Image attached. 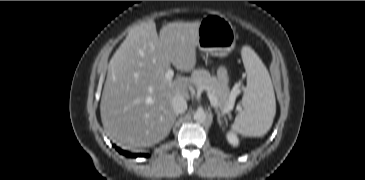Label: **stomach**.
<instances>
[{
	"label": "stomach",
	"instance_id": "obj_1",
	"mask_svg": "<svg viewBox=\"0 0 365 180\" xmlns=\"http://www.w3.org/2000/svg\"><path fill=\"white\" fill-rule=\"evenodd\" d=\"M236 31L233 25L221 16L207 15L198 27V48L217 57L227 56L235 47Z\"/></svg>",
	"mask_w": 365,
	"mask_h": 180
}]
</instances>
